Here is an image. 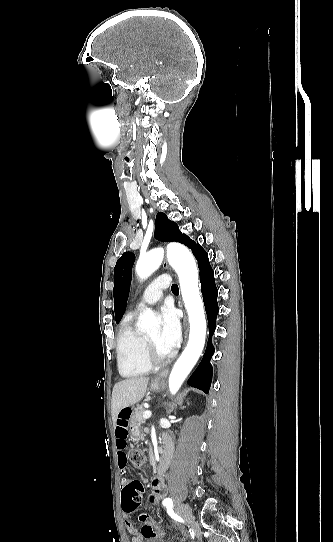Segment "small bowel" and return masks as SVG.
Returning a JSON list of instances; mask_svg holds the SVG:
<instances>
[{"label":"small bowel","instance_id":"c3829d8e","mask_svg":"<svg viewBox=\"0 0 333 542\" xmlns=\"http://www.w3.org/2000/svg\"><path fill=\"white\" fill-rule=\"evenodd\" d=\"M132 414V409L130 406L123 405L119 409V415L115 423V444L118 452V465L122 473L126 471L127 456L124 450L127 448V437H128V427L130 422V416ZM130 481L126 477L121 479V488H122V498L131 497V491L129 489ZM151 491L149 493L148 499L152 504H159L166 493V482L164 475L159 476L156 474L150 482ZM125 521V528L127 532L131 535L132 542H143V535L137 531L134 524L129 521L130 515L125 513L123 515ZM151 525L157 529L158 535L155 538L162 537L164 535L163 531L156 526L154 520H151ZM153 539V538H150Z\"/></svg>","mask_w":333,"mask_h":542}]
</instances>
